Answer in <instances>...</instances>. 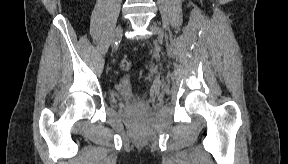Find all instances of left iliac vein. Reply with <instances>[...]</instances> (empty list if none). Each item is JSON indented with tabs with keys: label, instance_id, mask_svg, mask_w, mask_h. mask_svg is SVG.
Instances as JSON below:
<instances>
[{
	"label": "left iliac vein",
	"instance_id": "1",
	"mask_svg": "<svg viewBox=\"0 0 288 164\" xmlns=\"http://www.w3.org/2000/svg\"><path fill=\"white\" fill-rule=\"evenodd\" d=\"M150 29H151V30L155 33V35L157 36V39H158L159 43H162V42H163V36H164L163 31H162L159 27H157L156 25H154V24H152V25L150 26Z\"/></svg>",
	"mask_w": 288,
	"mask_h": 164
}]
</instances>
